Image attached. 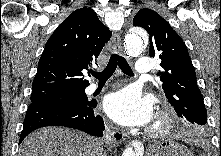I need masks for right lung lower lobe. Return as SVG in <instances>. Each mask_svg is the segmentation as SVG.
I'll return each instance as SVG.
<instances>
[{
	"instance_id": "right-lung-lower-lobe-1",
	"label": "right lung lower lobe",
	"mask_w": 221,
	"mask_h": 156,
	"mask_svg": "<svg viewBox=\"0 0 221 156\" xmlns=\"http://www.w3.org/2000/svg\"><path fill=\"white\" fill-rule=\"evenodd\" d=\"M97 102L86 106L31 103L27 109L19 143L35 129L45 126H65L93 136H103L104 121L95 113Z\"/></svg>"
}]
</instances>
